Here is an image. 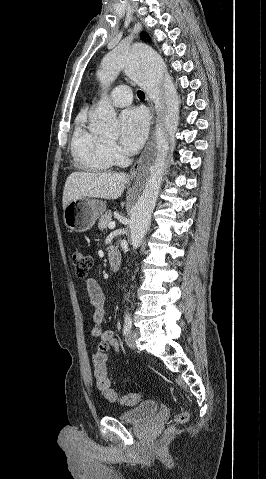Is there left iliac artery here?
Masks as SVG:
<instances>
[{
  "mask_svg": "<svg viewBox=\"0 0 266 479\" xmlns=\"http://www.w3.org/2000/svg\"><path fill=\"white\" fill-rule=\"evenodd\" d=\"M125 323L123 327V334L127 335L132 329V319L129 314L125 315Z\"/></svg>",
  "mask_w": 266,
  "mask_h": 479,
  "instance_id": "obj_1",
  "label": "left iliac artery"
}]
</instances>
